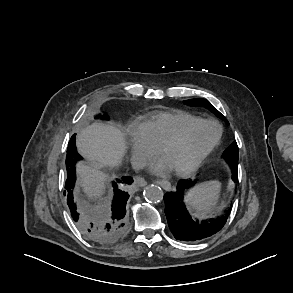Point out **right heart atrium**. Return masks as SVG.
Instances as JSON below:
<instances>
[{
	"instance_id": "d8ad5b80",
	"label": "right heart atrium",
	"mask_w": 293,
	"mask_h": 293,
	"mask_svg": "<svg viewBox=\"0 0 293 293\" xmlns=\"http://www.w3.org/2000/svg\"><path fill=\"white\" fill-rule=\"evenodd\" d=\"M129 136L133 161L136 165H141L156 151V147L140 124L129 130Z\"/></svg>"
}]
</instances>
